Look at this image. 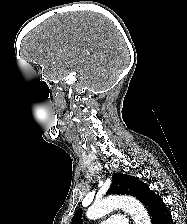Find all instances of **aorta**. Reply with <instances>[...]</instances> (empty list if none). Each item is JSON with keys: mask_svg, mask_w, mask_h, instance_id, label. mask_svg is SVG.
I'll use <instances>...</instances> for the list:
<instances>
[{"mask_svg": "<svg viewBox=\"0 0 187 224\" xmlns=\"http://www.w3.org/2000/svg\"><path fill=\"white\" fill-rule=\"evenodd\" d=\"M116 208L127 211L135 224H151L150 217L144 206L135 198L126 196H111L94 203L87 210V217L95 220L110 213Z\"/></svg>", "mask_w": 187, "mask_h": 224, "instance_id": "1", "label": "aorta"}]
</instances>
